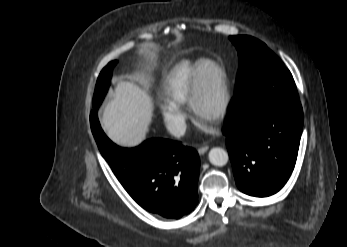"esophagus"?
Wrapping results in <instances>:
<instances>
[{
    "label": "esophagus",
    "instance_id": "obj_1",
    "mask_svg": "<svg viewBox=\"0 0 347 247\" xmlns=\"http://www.w3.org/2000/svg\"><path fill=\"white\" fill-rule=\"evenodd\" d=\"M208 149H209V146L205 145V146L198 148L197 151L200 155H203L204 153H206L208 151Z\"/></svg>",
    "mask_w": 347,
    "mask_h": 247
}]
</instances>
